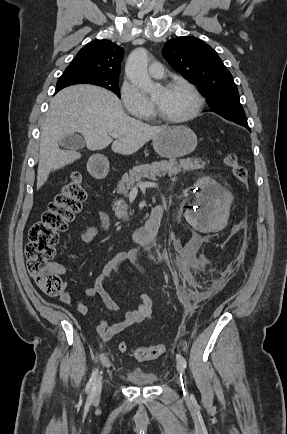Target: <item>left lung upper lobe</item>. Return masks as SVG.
Here are the masks:
<instances>
[{
  "label": "left lung upper lobe",
  "instance_id": "5c2ea615",
  "mask_svg": "<svg viewBox=\"0 0 287 434\" xmlns=\"http://www.w3.org/2000/svg\"><path fill=\"white\" fill-rule=\"evenodd\" d=\"M162 53L176 71L201 88L211 111L222 117L245 116L231 73L209 45L195 37L183 36L169 40Z\"/></svg>",
  "mask_w": 287,
  "mask_h": 434
}]
</instances>
